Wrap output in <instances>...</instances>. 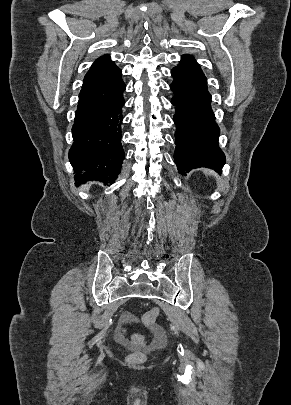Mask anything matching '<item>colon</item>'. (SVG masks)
I'll list each match as a JSON object with an SVG mask.
<instances>
[{"label":"colon","instance_id":"obj_1","mask_svg":"<svg viewBox=\"0 0 291 405\" xmlns=\"http://www.w3.org/2000/svg\"><path fill=\"white\" fill-rule=\"evenodd\" d=\"M158 315H159V310L157 308H153L150 311L146 312L142 316V319H141L143 325L146 327H151V326L155 325ZM118 335L120 338L125 339V337H126L125 329H121L119 331ZM132 340L134 342H141L142 338L138 335H135L132 337ZM144 360H145V354L141 351H135L128 357V361L131 364H137V363L143 362Z\"/></svg>","mask_w":291,"mask_h":405}]
</instances>
